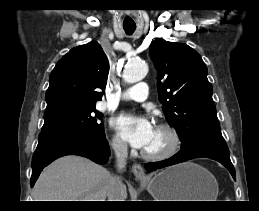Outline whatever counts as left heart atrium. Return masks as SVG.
<instances>
[{
  "label": "left heart atrium",
  "mask_w": 259,
  "mask_h": 211,
  "mask_svg": "<svg viewBox=\"0 0 259 211\" xmlns=\"http://www.w3.org/2000/svg\"><path fill=\"white\" fill-rule=\"evenodd\" d=\"M114 127L135 148L144 149L154 132L152 123L145 117L121 115L114 119Z\"/></svg>",
  "instance_id": "39dd6f15"
}]
</instances>
